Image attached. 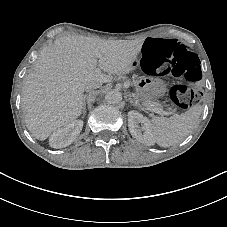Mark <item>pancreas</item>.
Here are the masks:
<instances>
[{"label":"pancreas","instance_id":"cf45deb5","mask_svg":"<svg viewBox=\"0 0 227 227\" xmlns=\"http://www.w3.org/2000/svg\"><path fill=\"white\" fill-rule=\"evenodd\" d=\"M140 101L146 107H151V106H153L154 108L160 107V104L158 102H154L151 99H140Z\"/></svg>","mask_w":227,"mask_h":227}]
</instances>
